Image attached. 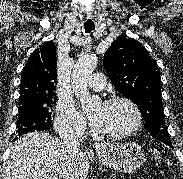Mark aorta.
Wrapping results in <instances>:
<instances>
[{"label":"aorta","mask_w":183,"mask_h":179,"mask_svg":"<svg viewBox=\"0 0 183 179\" xmlns=\"http://www.w3.org/2000/svg\"><path fill=\"white\" fill-rule=\"evenodd\" d=\"M98 59L95 55L81 56L76 64L71 75V86L75 96L81 102L83 111L92 110L100 103V98L90 95L88 91V79L94 69L97 67Z\"/></svg>","instance_id":"obj_1"}]
</instances>
